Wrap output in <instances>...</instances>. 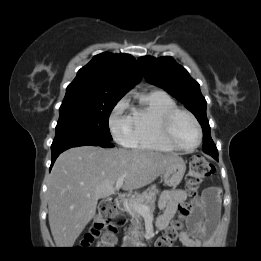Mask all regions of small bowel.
Here are the masks:
<instances>
[{
  "label": "small bowel",
  "instance_id": "1",
  "mask_svg": "<svg viewBox=\"0 0 261 261\" xmlns=\"http://www.w3.org/2000/svg\"><path fill=\"white\" fill-rule=\"evenodd\" d=\"M186 200L181 189L164 191L159 199L162 213L156 220L158 229H166L175 217L178 206ZM220 191L215 187L204 190L202 196L194 201L193 211L189 216V226L193 236L182 231L179 235L182 245L188 249L198 248L204 243V234L208 228L216 229L220 214Z\"/></svg>",
  "mask_w": 261,
  "mask_h": 261
}]
</instances>
